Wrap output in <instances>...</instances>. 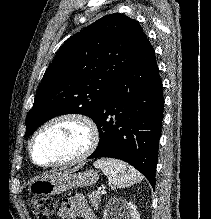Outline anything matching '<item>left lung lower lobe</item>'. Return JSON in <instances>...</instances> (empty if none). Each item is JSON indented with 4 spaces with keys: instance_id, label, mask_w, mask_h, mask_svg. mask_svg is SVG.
<instances>
[{
    "instance_id": "0a47b994",
    "label": "left lung lower lobe",
    "mask_w": 211,
    "mask_h": 219,
    "mask_svg": "<svg viewBox=\"0 0 211 219\" xmlns=\"http://www.w3.org/2000/svg\"><path fill=\"white\" fill-rule=\"evenodd\" d=\"M163 107L162 82L154 49L147 41L103 98L94 119L100 141L88 158L126 161L155 188Z\"/></svg>"
}]
</instances>
